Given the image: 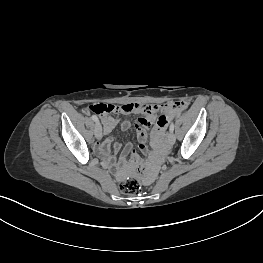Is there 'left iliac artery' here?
Instances as JSON below:
<instances>
[{
	"label": "left iliac artery",
	"instance_id": "44dca946",
	"mask_svg": "<svg viewBox=\"0 0 263 263\" xmlns=\"http://www.w3.org/2000/svg\"><path fill=\"white\" fill-rule=\"evenodd\" d=\"M170 132H173L174 131V123L172 122L171 125H170Z\"/></svg>",
	"mask_w": 263,
	"mask_h": 263
}]
</instances>
